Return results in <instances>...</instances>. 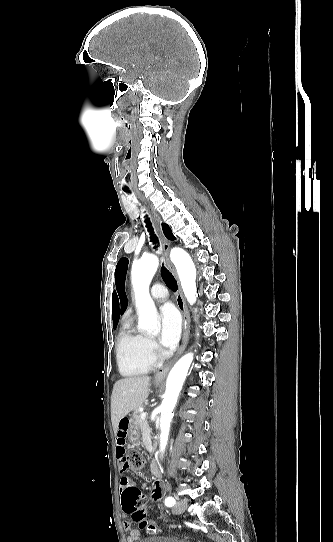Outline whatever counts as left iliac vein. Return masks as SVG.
<instances>
[{
    "label": "left iliac vein",
    "instance_id": "4c4485c4",
    "mask_svg": "<svg viewBox=\"0 0 333 542\" xmlns=\"http://www.w3.org/2000/svg\"><path fill=\"white\" fill-rule=\"evenodd\" d=\"M188 508V504H187V501L186 500H179L176 502L175 506H174V511H176V513H184L186 512Z\"/></svg>",
    "mask_w": 333,
    "mask_h": 542
}]
</instances>
